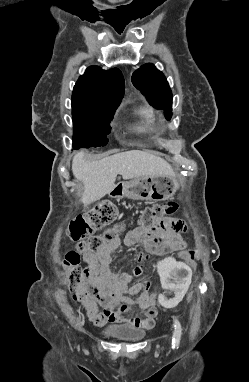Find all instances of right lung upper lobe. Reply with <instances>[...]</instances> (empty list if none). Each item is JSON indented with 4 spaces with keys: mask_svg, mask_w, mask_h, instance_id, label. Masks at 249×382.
<instances>
[{
    "mask_svg": "<svg viewBox=\"0 0 249 382\" xmlns=\"http://www.w3.org/2000/svg\"><path fill=\"white\" fill-rule=\"evenodd\" d=\"M123 95L124 78L119 69L105 71L98 66H90L74 86L72 109L97 104L116 109Z\"/></svg>",
    "mask_w": 249,
    "mask_h": 382,
    "instance_id": "1",
    "label": "right lung upper lobe"
}]
</instances>
